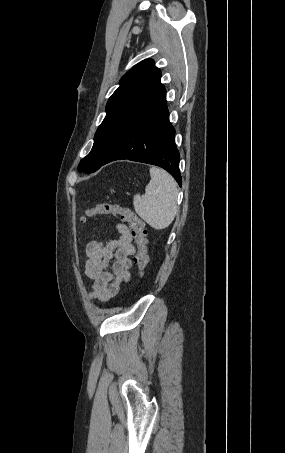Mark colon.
<instances>
[{
    "label": "colon",
    "mask_w": 285,
    "mask_h": 453,
    "mask_svg": "<svg viewBox=\"0 0 285 453\" xmlns=\"http://www.w3.org/2000/svg\"><path fill=\"white\" fill-rule=\"evenodd\" d=\"M97 215L119 216L122 220L129 223L132 235L137 244V255L134 257V263L139 276H142L149 264V255L147 249V228L145 222L139 218L130 207L121 206L111 203H100L85 211L83 220L90 219Z\"/></svg>",
    "instance_id": "1"
}]
</instances>
